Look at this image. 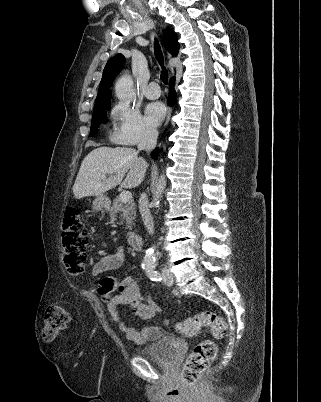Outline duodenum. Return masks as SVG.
Returning a JSON list of instances; mask_svg holds the SVG:
<instances>
[{
    "instance_id": "1",
    "label": "duodenum",
    "mask_w": 321,
    "mask_h": 402,
    "mask_svg": "<svg viewBox=\"0 0 321 402\" xmlns=\"http://www.w3.org/2000/svg\"><path fill=\"white\" fill-rule=\"evenodd\" d=\"M127 244L134 250H141L142 248V239L140 234L136 232H129L126 237Z\"/></svg>"
}]
</instances>
